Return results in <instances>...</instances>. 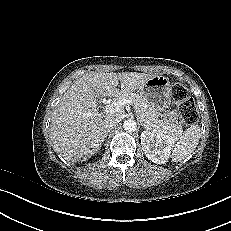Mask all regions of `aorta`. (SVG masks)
Segmentation results:
<instances>
[{"label":"aorta","mask_w":231,"mask_h":231,"mask_svg":"<svg viewBox=\"0 0 231 231\" xmlns=\"http://www.w3.org/2000/svg\"><path fill=\"white\" fill-rule=\"evenodd\" d=\"M123 128L127 132H134L137 129V123L133 119L125 120L123 123Z\"/></svg>","instance_id":"aorta-1"}]
</instances>
